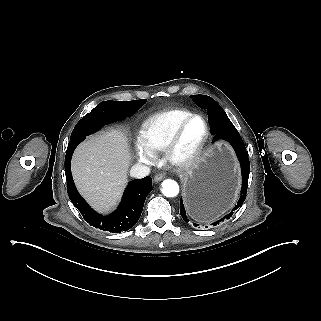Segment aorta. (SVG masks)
Here are the masks:
<instances>
[{"label":"aorta","instance_id":"762f6f07","mask_svg":"<svg viewBox=\"0 0 321 321\" xmlns=\"http://www.w3.org/2000/svg\"><path fill=\"white\" fill-rule=\"evenodd\" d=\"M162 193L166 197H175L179 193V185L176 181L166 179L162 182Z\"/></svg>","mask_w":321,"mask_h":321}]
</instances>
